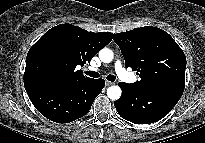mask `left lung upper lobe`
Segmentation results:
<instances>
[{
    "label": "left lung upper lobe",
    "instance_id": "left-lung-upper-lobe-1",
    "mask_svg": "<svg viewBox=\"0 0 205 143\" xmlns=\"http://www.w3.org/2000/svg\"><path fill=\"white\" fill-rule=\"evenodd\" d=\"M114 36L125 58V66L137 71L141 78L131 85L185 82V54L167 32L147 26Z\"/></svg>",
    "mask_w": 205,
    "mask_h": 143
}]
</instances>
